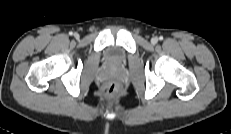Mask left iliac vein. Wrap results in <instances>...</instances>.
<instances>
[{
	"instance_id": "left-iliac-vein-1",
	"label": "left iliac vein",
	"mask_w": 231,
	"mask_h": 134,
	"mask_svg": "<svg viewBox=\"0 0 231 134\" xmlns=\"http://www.w3.org/2000/svg\"><path fill=\"white\" fill-rule=\"evenodd\" d=\"M158 42V38L157 37H153L152 39H151V43L152 44H156Z\"/></svg>"
}]
</instances>
